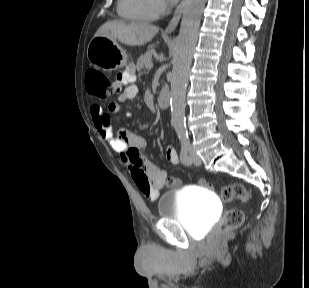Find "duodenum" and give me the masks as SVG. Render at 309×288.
I'll list each match as a JSON object with an SVG mask.
<instances>
[{"label":"duodenum","mask_w":309,"mask_h":288,"mask_svg":"<svg viewBox=\"0 0 309 288\" xmlns=\"http://www.w3.org/2000/svg\"><path fill=\"white\" fill-rule=\"evenodd\" d=\"M157 103L160 108L168 109L171 104V93L167 88H163L158 96Z\"/></svg>","instance_id":"duodenum-1"}]
</instances>
